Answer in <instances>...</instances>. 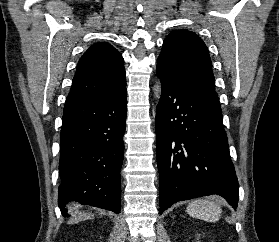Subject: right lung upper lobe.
<instances>
[{
	"label": "right lung upper lobe",
	"mask_w": 279,
	"mask_h": 242,
	"mask_svg": "<svg viewBox=\"0 0 279 242\" xmlns=\"http://www.w3.org/2000/svg\"><path fill=\"white\" fill-rule=\"evenodd\" d=\"M126 86L123 57L108 43L92 45L80 58L65 105L113 95Z\"/></svg>",
	"instance_id": "obj_1"
}]
</instances>
